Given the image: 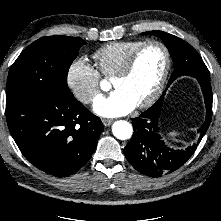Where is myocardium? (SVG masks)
<instances>
[{
    "label": "myocardium",
    "instance_id": "myocardium-1",
    "mask_svg": "<svg viewBox=\"0 0 221 221\" xmlns=\"http://www.w3.org/2000/svg\"><path fill=\"white\" fill-rule=\"evenodd\" d=\"M158 46L162 49L164 56H165V65L164 69L161 75V78L155 88V90L152 92V94L146 98L141 103L137 104L138 108H145L151 106L153 103H155L158 98L161 96L165 85L167 83L169 73L171 70L172 60H171V54L168 49V47L161 41L158 40H149L145 41L143 44H141L139 47H137L134 51L130 53V55L126 58L120 69L115 73L113 76V79H119V78H125L127 77L133 70L134 65L136 63V60L138 56L141 54L143 50L148 48L149 46Z\"/></svg>",
    "mask_w": 221,
    "mask_h": 221
}]
</instances>
